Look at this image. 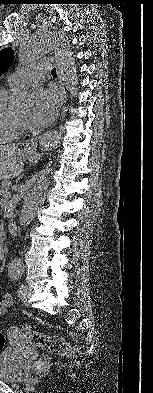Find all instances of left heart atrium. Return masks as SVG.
Segmentation results:
<instances>
[{"label": "left heart atrium", "instance_id": "1", "mask_svg": "<svg viewBox=\"0 0 153 393\" xmlns=\"http://www.w3.org/2000/svg\"><path fill=\"white\" fill-rule=\"evenodd\" d=\"M61 104L59 93L52 88L39 89L34 94L31 121L36 126H47L56 117Z\"/></svg>", "mask_w": 153, "mask_h": 393}]
</instances>
